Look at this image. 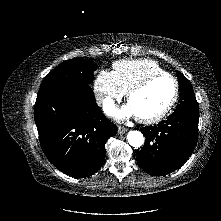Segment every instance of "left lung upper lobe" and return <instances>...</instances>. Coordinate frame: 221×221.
Instances as JSON below:
<instances>
[{
	"mask_svg": "<svg viewBox=\"0 0 221 221\" xmlns=\"http://www.w3.org/2000/svg\"><path fill=\"white\" fill-rule=\"evenodd\" d=\"M178 81L180 85V100L176 109L181 108H196L198 109V103L188 79L179 71H177Z\"/></svg>",
	"mask_w": 221,
	"mask_h": 221,
	"instance_id": "obj_1",
	"label": "left lung upper lobe"
}]
</instances>
